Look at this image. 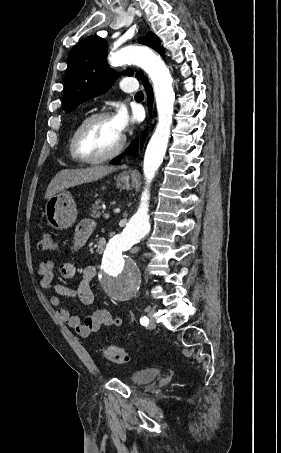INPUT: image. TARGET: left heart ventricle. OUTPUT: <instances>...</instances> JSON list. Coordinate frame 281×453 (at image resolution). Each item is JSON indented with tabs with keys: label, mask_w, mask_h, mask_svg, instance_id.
Masks as SVG:
<instances>
[{
	"label": "left heart ventricle",
	"mask_w": 281,
	"mask_h": 453,
	"mask_svg": "<svg viewBox=\"0 0 281 453\" xmlns=\"http://www.w3.org/2000/svg\"><path fill=\"white\" fill-rule=\"evenodd\" d=\"M112 119L92 123L86 130L81 149L89 158L98 157L112 151L122 138Z\"/></svg>",
	"instance_id": "b2bd125f"
}]
</instances>
